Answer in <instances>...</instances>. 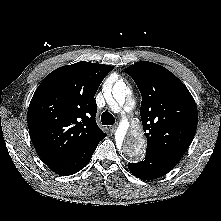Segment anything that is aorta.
<instances>
[{"instance_id": "aorta-1", "label": "aorta", "mask_w": 221, "mask_h": 221, "mask_svg": "<svg viewBox=\"0 0 221 221\" xmlns=\"http://www.w3.org/2000/svg\"><path fill=\"white\" fill-rule=\"evenodd\" d=\"M104 96L108 102L115 100L119 105H123L125 100L132 107L134 101L129 95L128 87L125 82L118 80L110 88L104 90ZM122 137L117 138L118 146L122 152L131 160L137 161L145 153L146 140L144 131L140 125H135L131 130L121 129Z\"/></svg>"}]
</instances>
